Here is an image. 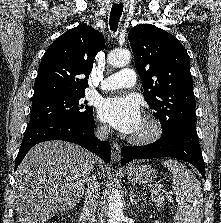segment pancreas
Returning <instances> with one entry per match:
<instances>
[{
  "mask_svg": "<svg viewBox=\"0 0 221 223\" xmlns=\"http://www.w3.org/2000/svg\"><path fill=\"white\" fill-rule=\"evenodd\" d=\"M151 201L155 204L156 207L162 208L164 206L165 198L160 193L152 194Z\"/></svg>",
  "mask_w": 221,
  "mask_h": 223,
  "instance_id": "obj_1",
  "label": "pancreas"
}]
</instances>
